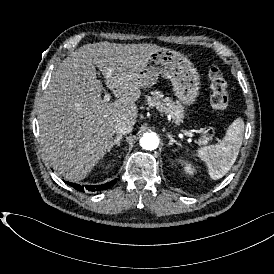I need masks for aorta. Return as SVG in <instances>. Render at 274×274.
I'll return each instance as SVG.
<instances>
[{
    "mask_svg": "<svg viewBox=\"0 0 274 274\" xmlns=\"http://www.w3.org/2000/svg\"><path fill=\"white\" fill-rule=\"evenodd\" d=\"M159 145V138L154 132H147L140 138V146L145 150H154Z\"/></svg>",
    "mask_w": 274,
    "mask_h": 274,
    "instance_id": "aorta-1",
    "label": "aorta"
}]
</instances>
